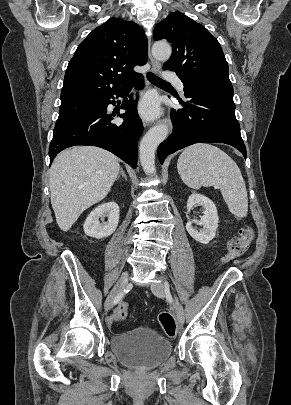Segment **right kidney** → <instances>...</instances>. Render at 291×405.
<instances>
[{"label":"right kidney","mask_w":291,"mask_h":405,"mask_svg":"<svg viewBox=\"0 0 291 405\" xmlns=\"http://www.w3.org/2000/svg\"><path fill=\"white\" fill-rule=\"evenodd\" d=\"M108 218L105 223L99 219ZM119 223V206L115 202H107L96 207L86 218L83 225L87 236L97 239L105 238L114 233Z\"/></svg>","instance_id":"ca27d5eb"}]
</instances>
